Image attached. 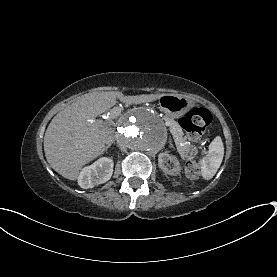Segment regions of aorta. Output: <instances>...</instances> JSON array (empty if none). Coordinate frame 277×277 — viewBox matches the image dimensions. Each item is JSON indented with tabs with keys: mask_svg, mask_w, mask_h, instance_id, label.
Wrapping results in <instances>:
<instances>
[{
	"mask_svg": "<svg viewBox=\"0 0 277 277\" xmlns=\"http://www.w3.org/2000/svg\"><path fill=\"white\" fill-rule=\"evenodd\" d=\"M116 140L129 151L155 155L167 141V130L154 112L137 109L118 121Z\"/></svg>",
	"mask_w": 277,
	"mask_h": 277,
	"instance_id": "aorta-1",
	"label": "aorta"
}]
</instances>
